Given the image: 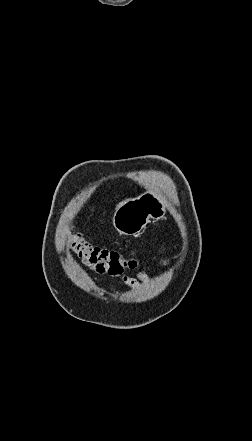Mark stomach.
Instances as JSON below:
<instances>
[{
  "instance_id": "obj_1",
  "label": "stomach",
  "mask_w": 252,
  "mask_h": 441,
  "mask_svg": "<svg viewBox=\"0 0 252 441\" xmlns=\"http://www.w3.org/2000/svg\"><path fill=\"white\" fill-rule=\"evenodd\" d=\"M166 210V200L154 192L147 191L119 205L113 216V225L121 235L136 236L150 219L165 218Z\"/></svg>"
}]
</instances>
